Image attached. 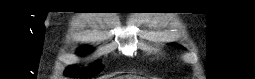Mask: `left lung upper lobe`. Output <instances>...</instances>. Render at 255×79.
<instances>
[{"label":"left lung upper lobe","mask_w":255,"mask_h":79,"mask_svg":"<svg viewBox=\"0 0 255 79\" xmlns=\"http://www.w3.org/2000/svg\"><path fill=\"white\" fill-rule=\"evenodd\" d=\"M171 46H175V47H180V48H182L181 46H179V45H176V44H170Z\"/></svg>","instance_id":"1"}]
</instances>
